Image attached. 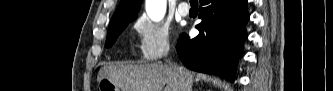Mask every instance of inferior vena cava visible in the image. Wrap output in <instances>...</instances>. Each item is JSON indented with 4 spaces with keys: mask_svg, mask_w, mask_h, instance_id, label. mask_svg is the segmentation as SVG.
<instances>
[{
    "mask_svg": "<svg viewBox=\"0 0 333 91\" xmlns=\"http://www.w3.org/2000/svg\"><path fill=\"white\" fill-rule=\"evenodd\" d=\"M174 67V70L178 73H180V84H181V91H191V87L189 86V84L185 81V78L182 75L181 70L179 69V67L176 64H170Z\"/></svg>",
    "mask_w": 333,
    "mask_h": 91,
    "instance_id": "602c4592",
    "label": "inferior vena cava"
}]
</instances>
